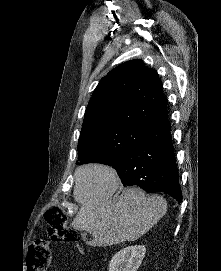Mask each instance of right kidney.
<instances>
[{
	"instance_id": "obj_1",
	"label": "right kidney",
	"mask_w": 221,
	"mask_h": 271,
	"mask_svg": "<svg viewBox=\"0 0 221 271\" xmlns=\"http://www.w3.org/2000/svg\"><path fill=\"white\" fill-rule=\"evenodd\" d=\"M145 253V245L123 247L109 261L108 271H137Z\"/></svg>"
}]
</instances>
